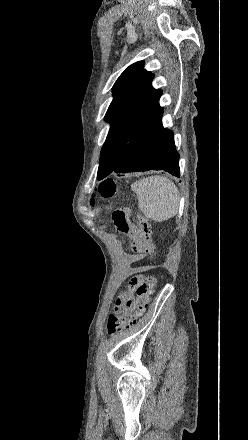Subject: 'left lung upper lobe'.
<instances>
[{
	"instance_id": "left-lung-upper-lobe-1",
	"label": "left lung upper lobe",
	"mask_w": 248,
	"mask_h": 440,
	"mask_svg": "<svg viewBox=\"0 0 248 440\" xmlns=\"http://www.w3.org/2000/svg\"><path fill=\"white\" fill-rule=\"evenodd\" d=\"M142 61L130 65L113 86V100L105 115L110 130L101 150L98 180L108 176L125 154L162 126V91L151 85L154 75Z\"/></svg>"
}]
</instances>
